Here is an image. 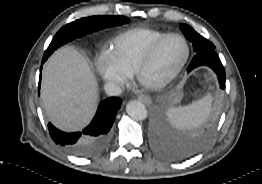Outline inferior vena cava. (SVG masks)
Returning <instances> with one entry per match:
<instances>
[{"label": "inferior vena cava", "mask_w": 262, "mask_h": 184, "mask_svg": "<svg viewBox=\"0 0 262 184\" xmlns=\"http://www.w3.org/2000/svg\"><path fill=\"white\" fill-rule=\"evenodd\" d=\"M104 90L109 96H118L122 93L121 87L113 82H108L104 85Z\"/></svg>", "instance_id": "602c4592"}]
</instances>
